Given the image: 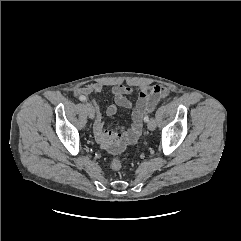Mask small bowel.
<instances>
[{"label": "small bowel", "mask_w": 241, "mask_h": 241, "mask_svg": "<svg viewBox=\"0 0 241 241\" xmlns=\"http://www.w3.org/2000/svg\"><path fill=\"white\" fill-rule=\"evenodd\" d=\"M103 89L100 83H91L86 86L77 88L74 91L75 97L89 96L91 94L100 93ZM138 92V98L133 103L127 98L133 92ZM114 98V104H110L106 108L108 116H114L118 107L132 110V123L130 128L124 129L117 127L115 129H107L101 116L100 104L93 99L92 103L96 110V120L94 123V134L96 140L111 154L122 152L129 145L134 144L142 131L143 117L151 109V107L161 98L167 96L168 89L161 85H144L137 88H131L124 85H116L111 89Z\"/></svg>", "instance_id": "small-bowel-1"}]
</instances>
